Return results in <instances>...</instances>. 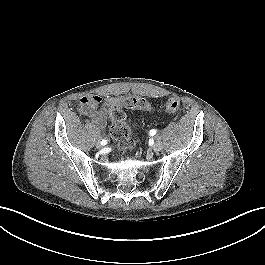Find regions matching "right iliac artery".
<instances>
[{
  "label": "right iliac artery",
  "mask_w": 265,
  "mask_h": 265,
  "mask_svg": "<svg viewBox=\"0 0 265 265\" xmlns=\"http://www.w3.org/2000/svg\"><path fill=\"white\" fill-rule=\"evenodd\" d=\"M101 144H102V145H106V144H107V140H102V141H101Z\"/></svg>",
  "instance_id": "obj_1"
}]
</instances>
